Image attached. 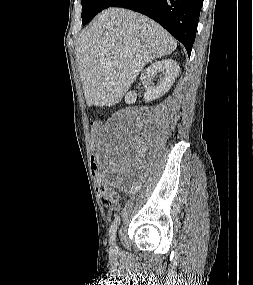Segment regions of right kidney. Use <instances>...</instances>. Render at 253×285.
Returning a JSON list of instances; mask_svg holds the SVG:
<instances>
[{
  "label": "right kidney",
  "mask_w": 253,
  "mask_h": 285,
  "mask_svg": "<svg viewBox=\"0 0 253 285\" xmlns=\"http://www.w3.org/2000/svg\"><path fill=\"white\" fill-rule=\"evenodd\" d=\"M179 65L176 61L172 59H163L161 61H155L152 63L145 71H143L140 80L152 78L155 73L163 72V77L160 78V81L157 85H152L148 88L147 92L144 95V100L146 102H151L163 96L166 92L169 91L173 85L178 73ZM126 103H134L136 98L132 92H129L125 96Z\"/></svg>",
  "instance_id": "1"
}]
</instances>
